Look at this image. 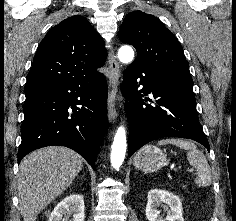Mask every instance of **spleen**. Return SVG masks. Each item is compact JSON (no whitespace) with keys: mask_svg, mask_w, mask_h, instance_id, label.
Here are the masks:
<instances>
[{"mask_svg":"<svg viewBox=\"0 0 236 221\" xmlns=\"http://www.w3.org/2000/svg\"><path fill=\"white\" fill-rule=\"evenodd\" d=\"M166 144H173L188 151L187 159L190 165L197 169L195 183L199 184V186H209L211 184L212 176L208 161L205 155L197 149L194 143L178 138L162 139L158 141V145Z\"/></svg>","mask_w":236,"mask_h":221,"instance_id":"1","label":"spleen"}]
</instances>
